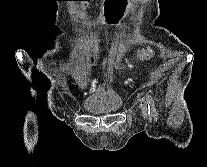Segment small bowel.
<instances>
[{
  "mask_svg": "<svg viewBox=\"0 0 207 167\" xmlns=\"http://www.w3.org/2000/svg\"><path fill=\"white\" fill-rule=\"evenodd\" d=\"M130 0H105L103 10H99V14H105L104 19H121L127 10L115 9H129ZM81 5H90V1H81ZM111 24H121V20H111Z\"/></svg>",
  "mask_w": 207,
  "mask_h": 167,
  "instance_id": "c3829d8e",
  "label": "small bowel"
}]
</instances>
